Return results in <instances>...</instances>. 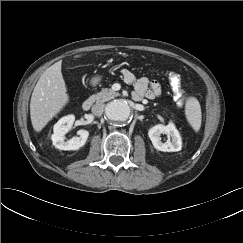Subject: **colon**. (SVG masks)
<instances>
[{"mask_svg": "<svg viewBox=\"0 0 243 243\" xmlns=\"http://www.w3.org/2000/svg\"><path fill=\"white\" fill-rule=\"evenodd\" d=\"M169 83L171 85V88L175 95L178 98H182L183 96V91L181 88V77L178 73L176 72H170L168 76Z\"/></svg>", "mask_w": 243, "mask_h": 243, "instance_id": "obj_1", "label": "colon"}]
</instances>
